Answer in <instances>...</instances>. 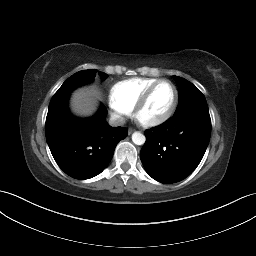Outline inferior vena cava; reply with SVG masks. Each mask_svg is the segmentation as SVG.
<instances>
[{"label":"inferior vena cava","mask_w":256,"mask_h":256,"mask_svg":"<svg viewBox=\"0 0 256 256\" xmlns=\"http://www.w3.org/2000/svg\"><path fill=\"white\" fill-rule=\"evenodd\" d=\"M109 124L112 127L122 126L125 124V119L119 115H112L109 120Z\"/></svg>","instance_id":"602c4592"}]
</instances>
